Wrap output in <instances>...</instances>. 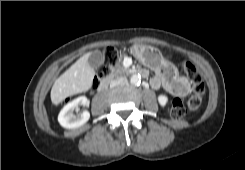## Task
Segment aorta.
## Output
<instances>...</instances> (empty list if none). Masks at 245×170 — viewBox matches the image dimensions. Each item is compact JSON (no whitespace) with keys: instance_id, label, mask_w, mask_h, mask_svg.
<instances>
[{"instance_id":"762f6f07","label":"aorta","mask_w":245,"mask_h":170,"mask_svg":"<svg viewBox=\"0 0 245 170\" xmlns=\"http://www.w3.org/2000/svg\"><path fill=\"white\" fill-rule=\"evenodd\" d=\"M140 81H141L140 76L139 75H136V74L132 75L131 78H130V83L132 85H139L140 84Z\"/></svg>"}]
</instances>
